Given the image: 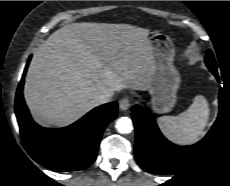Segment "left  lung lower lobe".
I'll return each instance as SVG.
<instances>
[{
    "instance_id": "left-lung-lower-lobe-1",
    "label": "left lung lower lobe",
    "mask_w": 230,
    "mask_h": 186,
    "mask_svg": "<svg viewBox=\"0 0 230 186\" xmlns=\"http://www.w3.org/2000/svg\"><path fill=\"white\" fill-rule=\"evenodd\" d=\"M218 79V73L214 74ZM222 103V91L219 94ZM132 117L136 130L135 156L141 168L154 174H175L197 157L212 136L214 127L197 144L177 146L169 142L159 131L147 107L134 105Z\"/></svg>"
}]
</instances>
